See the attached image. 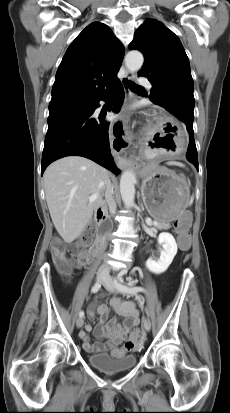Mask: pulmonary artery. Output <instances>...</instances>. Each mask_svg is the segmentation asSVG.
I'll return each instance as SVG.
<instances>
[{"label":"pulmonary artery","instance_id":"pulmonary-artery-1","mask_svg":"<svg viewBox=\"0 0 230 413\" xmlns=\"http://www.w3.org/2000/svg\"><path fill=\"white\" fill-rule=\"evenodd\" d=\"M139 81H140L141 84H144V85H147V86L150 87V82H149V80H148L146 77H141V78L139 79Z\"/></svg>","mask_w":230,"mask_h":413}]
</instances>
